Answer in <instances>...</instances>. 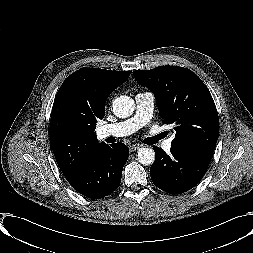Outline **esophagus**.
Returning a JSON list of instances; mask_svg holds the SVG:
<instances>
[{
    "mask_svg": "<svg viewBox=\"0 0 253 253\" xmlns=\"http://www.w3.org/2000/svg\"><path fill=\"white\" fill-rule=\"evenodd\" d=\"M140 145L139 144H132L129 146V149L131 152L136 151L137 149H139Z\"/></svg>",
    "mask_w": 253,
    "mask_h": 253,
    "instance_id": "1",
    "label": "esophagus"
}]
</instances>
